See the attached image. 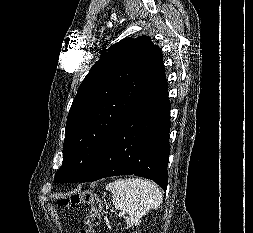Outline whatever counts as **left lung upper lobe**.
<instances>
[{"mask_svg":"<svg viewBox=\"0 0 253 233\" xmlns=\"http://www.w3.org/2000/svg\"><path fill=\"white\" fill-rule=\"evenodd\" d=\"M165 72L151 38H127L92 66L70 108L62 167L54 181L71 183L93 167L106 141L138 99Z\"/></svg>","mask_w":253,"mask_h":233,"instance_id":"5c2ea615","label":"left lung upper lobe"}]
</instances>
